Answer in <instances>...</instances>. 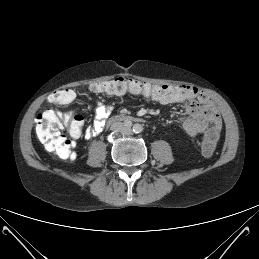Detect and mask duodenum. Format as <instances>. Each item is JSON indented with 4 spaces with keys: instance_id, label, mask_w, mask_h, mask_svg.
Returning <instances> with one entry per match:
<instances>
[{
    "instance_id": "1",
    "label": "duodenum",
    "mask_w": 259,
    "mask_h": 259,
    "mask_svg": "<svg viewBox=\"0 0 259 259\" xmlns=\"http://www.w3.org/2000/svg\"><path fill=\"white\" fill-rule=\"evenodd\" d=\"M142 119L138 117H134L128 114H119L112 116L108 119L107 124H115V123H127V122H141Z\"/></svg>"
}]
</instances>
